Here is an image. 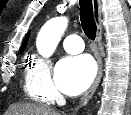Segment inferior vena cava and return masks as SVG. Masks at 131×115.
Segmentation results:
<instances>
[{"mask_svg":"<svg viewBox=\"0 0 131 115\" xmlns=\"http://www.w3.org/2000/svg\"><path fill=\"white\" fill-rule=\"evenodd\" d=\"M56 102L59 106H63L66 104V100L64 99V97L62 95H58L56 97Z\"/></svg>","mask_w":131,"mask_h":115,"instance_id":"inferior-vena-cava-1","label":"inferior vena cava"}]
</instances>
